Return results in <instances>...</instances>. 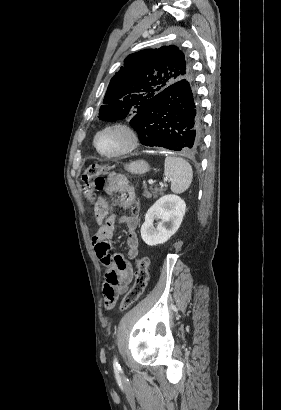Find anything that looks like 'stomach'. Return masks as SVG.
<instances>
[{
  "label": "stomach",
  "mask_w": 281,
  "mask_h": 410,
  "mask_svg": "<svg viewBox=\"0 0 281 410\" xmlns=\"http://www.w3.org/2000/svg\"><path fill=\"white\" fill-rule=\"evenodd\" d=\"M125 169L133 174H145L150 170V166L144 160H137L126 165Z\"/></svg>",
  "instance_id": "0dacf381"
}]
</instances>
